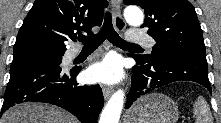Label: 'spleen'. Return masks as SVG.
I'll use <instances>...</instances> for the list:
<instances>
[{"label":"spleen","instance_id":"obj_1","mask_svg":"<svg viewBox=\"0 0 221 123\" xmlns=\"http://www.w3.org/2000/svg\"><path fill=\"white\" fill-rule=\"evenodd\" d=\"M193 114L196 123H213V117L207 101L199 97L193 105Z\"/></svg>","mask_w":221,"mask_h":123}]
</instances>
